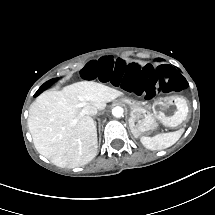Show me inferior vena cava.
Wrapping results in <instances>:
<instances>
[{
    "mask_svg": "<svg viewBox=\"0 0 215 215\" xmlns=\"http://www.w3.org/2000/svg\"><path fill=\"white\" fill-rule=\"evenodd\" d=\"M83 114L93 116L97 114V109L94 106H85L82 110Z\"/></svg>",
    "mask_w": 215,
    "mask_h": 215,
    "instance_id": "inferior-vena-cava-1",
    "label": "inferior vena cava"
}]
</instances>
